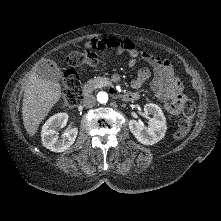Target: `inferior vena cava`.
I'll list each match as a JSON object with an SVG mask.
<instances>
[{
	"instance_id": "602c4592",
	"label": "inferior vena cava",
	"mask_w": 221,
	"mask_h": 221,
	"mask_svg": "<svg viewBox=\"0 0 221 221\" xmlns=\"http://www.w3.org/2000/svg\"><path fill=\"white\" fill-rule=\"evenodd\" d=\"M96 104V98L93 95H87L83 99V106L85 108H91Z\"/></svg>"
}]
</instances>
